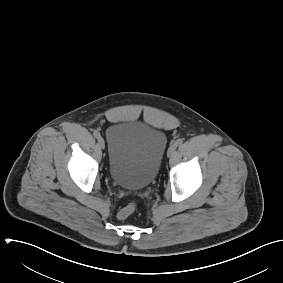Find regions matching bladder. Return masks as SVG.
<instances>
[{"mask_svg": "<svg viewBox=\"0 0 283 283\" xmlns=\"http://www.w3.org/2000/svg\"><path fill=\"white\" fill-rule=\"evenodd\" d=\"M108 168L119 186L141 190L156 178L167 147L161 129L146 123L123 122L108 127Z\"/></svg>", "mask_w": 283, "mask_h": 283, "instance_id": "bladder-1", "label": "bladder"}]
</instances>
